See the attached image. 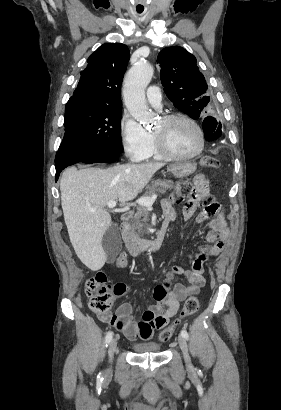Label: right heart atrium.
Listing matches in <instances>:
<instances>
[{
  "mask_svg": "<svg viewBox=\"0 0 281 410\" xmlns=\"http://www.w3.org/2000/svg\"><path fill=\"white\" fill-rule=\"evenodd\" d=\"M121 142L125 153L133 160L140 161L151 141V134L135 119L124 116L120 124Z\"/></svg>",
  "mask_w": 281,
  "mask_h": 410,
  "instance_id": "1",
  "label": "right heart atrium"
}]
</instances>
